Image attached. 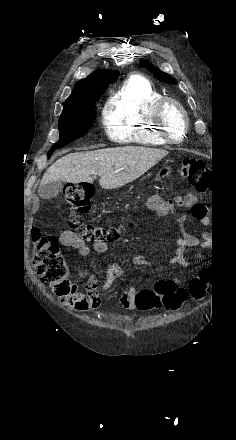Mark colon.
Masks as SVG:
<instances>
[{
    "instance_id": "1",
    "label": "colon",
    "mask_w": 236,
    "mask_h": 440,
    "mask_svg": "<svg viewBox=\"0 0 236 440\" xmlns=\"http://www.w3.org/2000/svg\"><path fill=\"white\" fill-rule=\"evenodd\" d=\"M178 175L187 178L190 185L198 191L210 187L211 171L201 159H183ZM93 189L90 184L71 185L65 188L62 203L70 211L71 226L74 232L88 242H111L122 232V227H102L84 223L81 215L90 208ZM33 265L44 285L49 286L63 301L73 289L69 279V266L54 237L33 231ZM219 276H198L191 280L188 290L177 286L173 281H158L154 290H142L137 298L138 309L148 311L155 307L167 310L179 309L190 295L195 300L205 296L207 285H219Z\"/></svg>"
}]
</instances>
